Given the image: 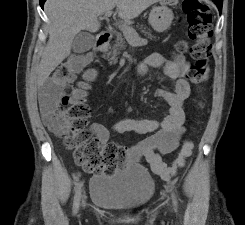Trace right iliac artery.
Listing matches in <instances>:
<instances>
[{"instance_id": "82829eb1", "label": "right iliac artery", "mask_w": 245, "mask_h": 225, "mask_svg": "<svg viewBox=\"0 0 245 225\" xmlns=\"http://www.w3.org/2000/svg\"><path fill=\"white\" fill-rule=\"evenodd\" d=\"M81 187H82L81 183H79L76 187L74 202H73V213L74 214L77 213L78 208H79L80 199H81Z\"/></svg>"}]
</instances>
